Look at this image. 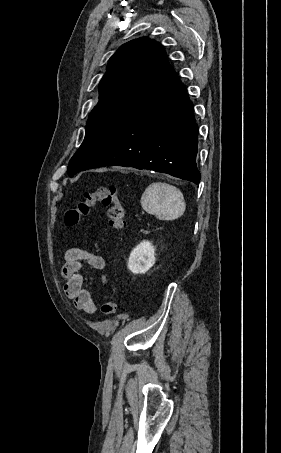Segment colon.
Returning <instances> with one entry per match:
<instances>
[{
	"label": "colon",
	"instance_id": "obj_1",
	"mask_svg": "<svg viewBox=\"0 0 281 453\" xmlns=\"http://www.w3.org/2000/svg\"><path fill=\"white\" fill-rule=\"evenodd\" d=\"M104 205L109 208V219L106 227L108 233L118 232L127 228V219L124 212V198L121 187L118 184H111L101 187L95 192L86 193L75 205L69 209L65 216V225L68 227H78L88 219L90 211L97 205ZM118 299H109L103 302L101 313L112 316L118 308Z\"/></svg>",
	"mask_w": 281,
	"mask_h": 453
}]
</instances>
